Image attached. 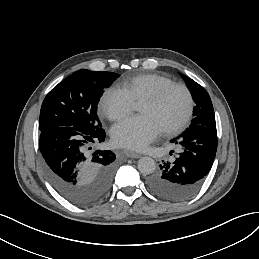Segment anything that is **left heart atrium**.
<instances>
[{
    "label": "left heart atrium",
    "instance_id": "obj_1",
    "mask_svg": "<svg viewBox=\"0 0 259 259\" xmlns=\"http://www.w3.org/2000/svg\"><path fill=\"white\" fill-rule=\"evenodd\" d=\"M162 130L149 117L137 116L119 121L111 129L115 145L131 149H144Z\"/></svg>",
    "mask_w": 259,
    "mask_h": 259
}]
</instances>
